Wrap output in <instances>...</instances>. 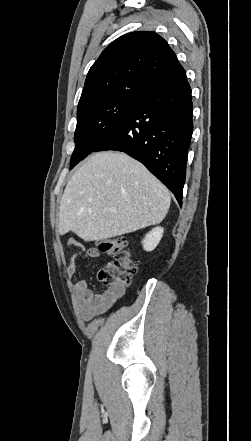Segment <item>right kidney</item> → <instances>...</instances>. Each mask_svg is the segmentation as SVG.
<instances>
[{
	"label": "right kidney",
	"instance_id": "right-kidney-1",
	"mask_svg": "<svg viewBox=\"0 0 251 441\" xmlns=\"http://www.w3.org/2000/svg\"><path fill=\"white\" fill-rule=\"evenodd\" d=\"M164 229L162 227L153 228L148 234H146L145 238L142 241L143 248L146 251L154 250L159 244Z\"/></svg>",
	"mask_w": 251,
	"mask_h": 441
}]
</instances>
